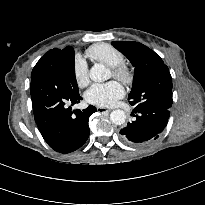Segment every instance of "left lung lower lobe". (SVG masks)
Here are the masks:
<instances>
[{
    "label": "left lung lower lobe",
    "mask_w": 205,
    "mask_h": 205,
    "mask_svg": "<svg viewBox=\"0 0 205 205\" xmlns=\"http://www.w3.org/2000/svg\"><path fill=\"white\" fill-rule=\"evenodd\" d=\"M132 115L135 119L120 130L121 138L128 144L142 146L159 137L167 125L170 111L157 106L135 107Z\"/></svg>",
    "instance_id": "1"
}]
</instances>
